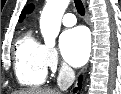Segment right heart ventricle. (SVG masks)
I'll return each mask as SVG.
<instances>
[{
  "label": "right heart ventricle",
  "instance_id": "e07e8e85",
  "mask_svg": "<svg viewBox=\"0 0 121 94\" xmlns=\"http://www.w3.org/2000/svg\"><path fill=\"white\" fill-rule=\"evenodd\" d=\"M15 73L23 86L38 87L45 82L44 45L34 38L30 30L25 31L16 43Z\"/></svg>",
  "mask_w": 121,
  "mask_h": 94
}]
</instances>
